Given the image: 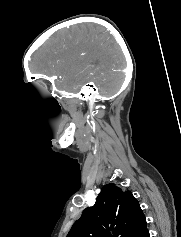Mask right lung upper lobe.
I'll return each mask as SVG.
<instances>
[{"label":"right lung upper lobe","mask_w":181,"mask_h":237,"mask_svg":"<svg viewBox=\"0 0 181 237\" xmlns=\"http://www.w3.org/2000/svg\"><path fill=\"white\" fill-rule=\"evenodd\" d=\"M146 219L130 191L110 183L86 208L66 237H144Z\"/></svg>","instance_id":"right-lung-upper-lobe-1"}]
</instances>
